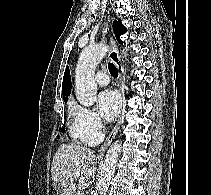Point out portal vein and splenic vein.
Returning a JSON list of instances; mask_svg holds the SVG:
<instances>
[{
  "mask_svg": "<svg viewBox=\"0 0 211 195\" xmlns=\"http://www.w3.org/2000/svg\"><path fill=\"white\" fill-rule=\"evenodd\" d=\"M75 176H76V177H79V176H80V173H79V172H76V173H75ZM79 195H82V194L79 193Z\"/></svg>",
  "mask_w": 211,
  "mask_h": 195,
  "instance_id": "18ae733b",
  "label": "portal vein and splenic vein"
}]
</instances>
